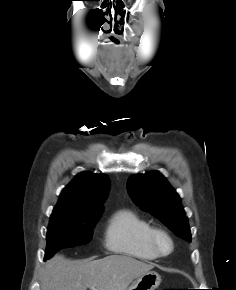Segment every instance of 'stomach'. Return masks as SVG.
I'll list each match as a JSON object with an SVG mask.
<instances>
[{"label":"stomach","instance_id":"obj_1","mask_svg":"<svg viewBox=\"0 0 236 290\" xmlns=\"http://www.w3.org/2000/svg\"><path fill=\"white\" fill-rule=\"evenodd\" d=\"M160 283V275L156 271H149L136 278L126 290H155Z\"/></svg>","mask_w":236,"mask_h":290}]
</instances>
